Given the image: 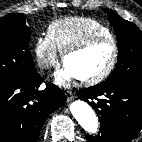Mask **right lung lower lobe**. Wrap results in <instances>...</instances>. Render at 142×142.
<instances>
[{
    "mask_svg": "<svg viewBox=\"0 0 142 142\" xmlns=\"http://www.w3.org/2000/svg\"><path fill=\"white\" fill-rule=\"evenodd\" d=\"M36 72L15 83L0 84V142H37L47 117L66 101L56 85L38 91Z\"/></svg>",
    "mask_w": 142,
    "mask_h": 142,
    "instance_id": "1",
    "label": "right lung lower lobe"
}]
</instances>
